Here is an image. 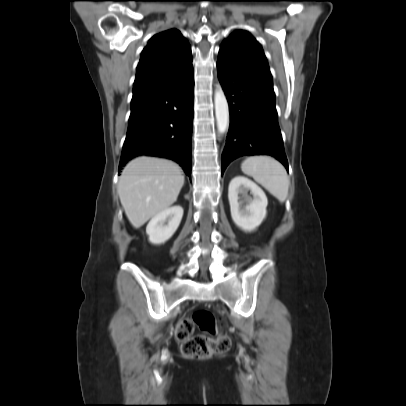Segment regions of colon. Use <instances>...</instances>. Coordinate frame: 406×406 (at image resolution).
I'll return each mask as SVG.
<instances>
[{"label": "colon", "instance_id": "obj_1", "mask_svg": "<svg viewBox=\"0 0 406 406\" xmlns=\"http://www.w3.org/2000/svg\"><path fill=\"white\" fill-rule=\"evenodd\" d=\"M196 327L202 331L201 334L194 335ZM216 334V320L207 310L182 319L175 328V337L182 343V353L188 359H205L227 352L231 346L230 338Z\"/></svg>", "mask_w": 406, "mask_h": 406}]
</instances>
